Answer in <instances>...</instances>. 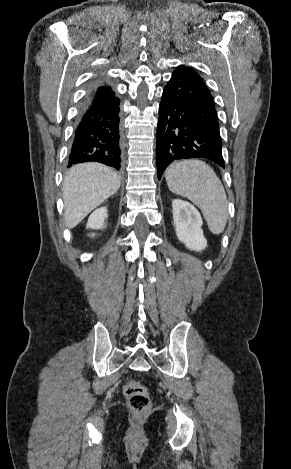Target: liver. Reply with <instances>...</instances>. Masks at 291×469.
<instances>
[{
  "label": "liver",
  "mask_w": 291,
  "mask_h": 469,
  "mask_svg": "<svg viewBox=\"0 0 291 469\" xmlns=\"http://www.w3.org/2000/svg\"><path fill=\"white\" fill-rule=\"evenodd\" d=\"M120 176L98 163L71 168L63 181L64 219L68 228L77 226L120 187Z\"/></svg>",
  "instance_id": "liver-1"
}]
</instances>
